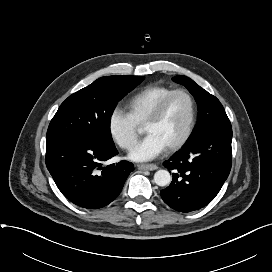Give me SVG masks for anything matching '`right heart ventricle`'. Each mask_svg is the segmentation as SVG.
<instances>
[{
  "label": "right heart ventricle",
  "mask_w": 272,
  "mask_h": 272,
  "mask_svg": "<svg viewBox=\"0 0 272 272\" xmlns=\"http://www.w3.org/2000/svg\"><path fill=\"white\" fill-rule=\"evenodd\" d=\"M173 90L175 89L165 85L145 87L128 101V114L138 126L144 125L157 104Z\"/></svg>",
  "instance_id": "1"
}]
</instances>
